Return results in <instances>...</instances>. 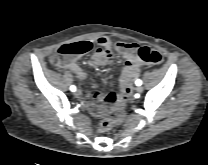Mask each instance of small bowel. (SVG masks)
Here are the masks:
<instances>
[{
    "instance_id": "c3829d8e",
    "label": "small bowel",
    "mask_w": 208,
    "mask_h": 165,
    "mask_svg": "<svg viewBox=\"0 0 208 165\" xmlns=\"http://www.w3.org/2000/svg\"><path fill=\"white\" fill-rule=\"evenodd\" d=\"M86 42L92 46L91 42ZM95 42L99 48H97L93 53L91 61L93 65L105 66L110 64L113 60V50L120 52L125 58V67L120 76V81H113L111 84L113 90H109L104 97V101L106 103L116 104L121 99V94L118 90H120L121 87H128L130 90L131 81L139 74L140 66L142 64L138 56L139 46L135 43H114L109 37L106 36L97 38ZM59 65L62 69L73 71L79 80H85L87 77L85 68L77 61L76 58L61 62ZM96 97L101 99V95L98 93L96 94ZM94 112L96 114H103L106 112V109L104 107H95Z\"/></svg>"
}]
</instances>
